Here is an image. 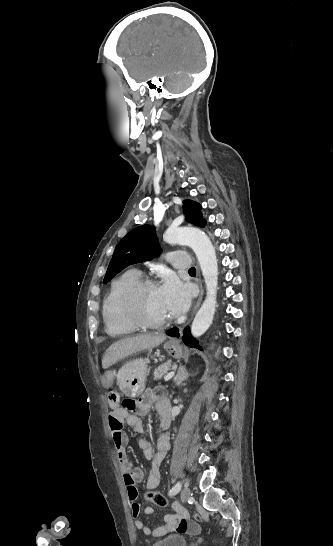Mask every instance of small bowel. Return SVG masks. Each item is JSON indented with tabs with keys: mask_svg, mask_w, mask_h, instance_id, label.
Returning a JSON list of instances; mask_svg holds the SVG:
<instances>
[{
	"mask_svg": "<svg viewBox=\"0 0 333 546\" xmlns=\"http://www.w3.org/2000/svg\"><path fill=\"white\" fill-rule=\"evenodd\" d=\"M114 374L115 373L111 370L106 372L105 379L102 383L104 388L108 389L112 387ZM153 405H155L160 417V435L157 440L156 448L154 447L153 443L146 438H138L137 443L142 450L144 457L151 461V468L146 480V486L149 489H154L161 483L160 466L170 447V416L167 398L163 394L149 389L136 403H134L133 408L116 407L109 413L108 416L110 434L117 452L119 468L122 473L127 495L132 503L131 509L134 517L138 516L141 510L140 504L136 501L138 497L136 484L142 481L144 474L142 469L133 466L127 457L125 450L127 445V436L123 430V425L126 423L136 433L142 434L144 431V426L141 417L145 415ZM172 510L174 512L166 514L164 516V523L155 528L153 531L139 519L135 520V527L141 530L144 534H153L155 536L164 535L173 531L175 528L178 532H185L189 528H196V525L189 522L187 511L179 504L173 503ZM144 513L146 515H152L153 509L151 507H145Z\"/></svg>",
	"mask_w": 333,
	"mask_h": 546,
	"instance_id": "small-bowel-1",
	"label": "small bowel"
}]
</instances>
